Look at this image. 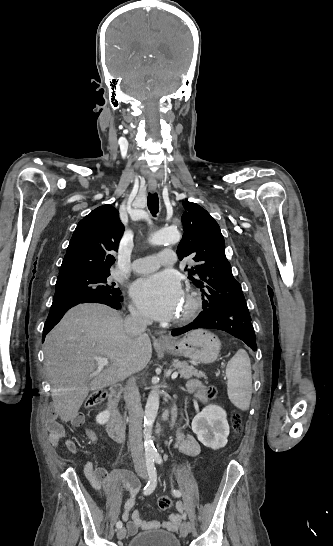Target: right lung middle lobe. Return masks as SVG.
Here are the masks:
<instances>
[{
	"mask_svg": "<svg viewBox=\"0 0 333 546\" xmlns=\"http://www.w3.org/2000/svg\"><path fill=\"white\" fill-rule=\"evenodd\" d=\"M110 272H80L57 278L53 302L94 295L121 296L115 283H108Z\"/></svg>",
	"mask_w": 333,
	"mask_h": 546,
	"instance_id": "right-lung-middle-lobe-1",
	"label": "right lung middle lobe"
}]
</instances>
